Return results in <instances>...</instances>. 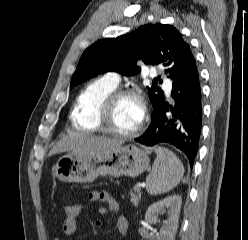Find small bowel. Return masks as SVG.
Segmentation results:
<instances>
[{
    "label": "small bowel",
    "mask_w": 248,
    "mask_h": 240,
    "mask_svg": "<svg viewBox=\"0 0 248 240\" xmlns=\"http://www.w3.org/2000/svg\"><path fill=\"white\" fill-rule=\"evenodd\" d=\"M89 198L94 202H102L105 204V207L100 209L101 214H115L118 210V203L113 198L111 194L105 191H93L89 194ZM117 227L119 231L123 234H126L128 231V222L124 216H119L117 219ZM91 228L93 233L99 234L102 232V222L100 220L91 221ZM77 229V220L74 218H65L62 231L65 236H72ZM55 240H60L56 238Z\"/></svg>",
    "instance_id": "obj_1"
}]
</instances>
